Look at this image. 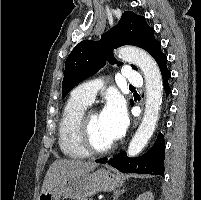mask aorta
Returning <instances> with one entry per match:
<instances>
[{
	"instance_id": "obj_1",
	"label": "aorta",
	"mask_w": 201,
	"mask_h": 200,
	"mask_svg": "<svg viewBox=\"0 0 201 200\" xmlns=\"http://www.w3.org/2000/svg\"><path fill=\"white\" fill-rule=\"evenodd\" d=\"M118 55L122 61L139 67L146 83L144 116L127 149V155L134 157L143 150L154 133L162 103V77L157 63L144 50L135 47H122L118 50Z\"/></svg>"
}]
</instances>
